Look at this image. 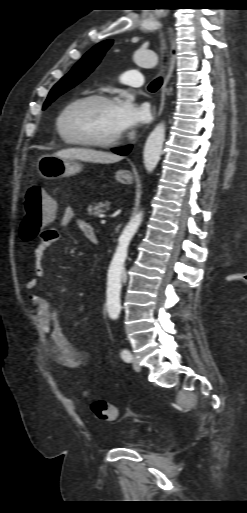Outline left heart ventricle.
<instances>
[{"label": "left heart ventricle", "instance_id": "b2bd125f", "mask_svg": "<svg viewBox=\"0 0 247 513\" xmlns=\"http://www.w3.org/2000/svg\"><path fill=\"white\" fill-rule=\"evenodd\" d=\"M62 129L72 138H113L121 134L116 118V104L99 101L75 104L66 113Z\"/></svg>", "mask_w": 247, "mask_h": 513}]
</instances>
